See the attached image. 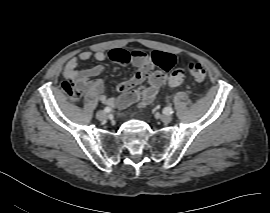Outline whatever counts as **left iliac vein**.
<instances>
[{"label": "left iliac vein", "mask_w": 270, "mask_h": 213, "mask_svg": "<svg viewBox=\"0 0 270 213\" xmlns=\"http://www.w3.org/2000/svg\"><path fill=\"white\" fill-rule=\"evenodd\" d=\"M161 120L164 123H170L172 121V116L170 114H163Z\"/></svg>", "instance_id": "1"}]
</instances>
